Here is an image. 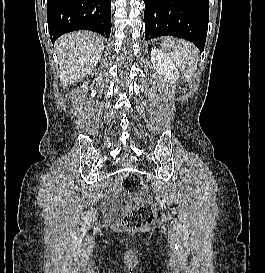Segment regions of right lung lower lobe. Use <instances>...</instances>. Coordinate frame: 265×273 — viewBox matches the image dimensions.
<instances>
[{
	"label": "right lung lower lobe",
	"mask_w": 265,
	"mask_h": 273,
	"mask_svg": "<svg viewBox=\"0 0 265 273\" xmlns=\"http://www.w3.org/2000/svg\"><path fill=\"white\" fill-rule=\"evenodd\" d=\"M51 41L76 30H91L104 37L111 32L110 0H47Z\"/></svg>",
	"instance_id": "obj_1"
}]
</instances>
